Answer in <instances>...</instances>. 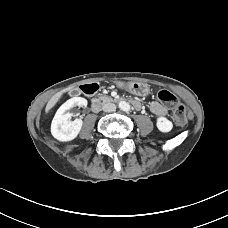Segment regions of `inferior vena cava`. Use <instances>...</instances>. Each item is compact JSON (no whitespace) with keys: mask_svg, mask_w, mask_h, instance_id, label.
<instances>
[{"mask_svg":"<svg viewBox=\"0 0 228 228\" xmlns=\"http://www.w3.org/2000/svg\"><path fill=\"white\" fill-rule=\"evenodd\" d=\"M102 110L104 112H113L116 110V105L114 103H105L103 106H102Z\"/></svg>","mask_w":228,"mask_h":228,"instance_id":"1","label":"inferior vena cava"}]
</instances>
